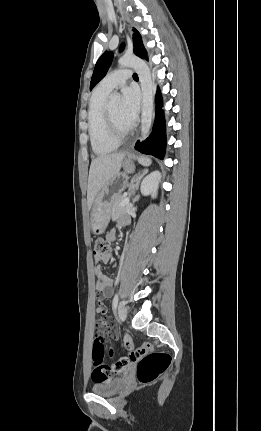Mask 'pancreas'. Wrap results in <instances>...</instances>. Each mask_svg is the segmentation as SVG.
<instances>
[{
  "mask_svg": "<svg viewBox=\"0 0 261 431\" xmlns=\"http://www.w3.org/2000/svg\"><path fill=\"white\" fill-rule=\"evenodd\" d=\"M125 198L123 195H118L112 202L111 211H112V217L116 218L120 214H123L126 212L125 206H120V203Z\"/></svg>",
  "mask_w": 261,
  "mask_h": 431,
  "instance_id": "pancreas-1",
  "label": "pancreas"
}]
</instances>
